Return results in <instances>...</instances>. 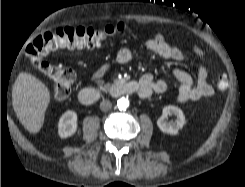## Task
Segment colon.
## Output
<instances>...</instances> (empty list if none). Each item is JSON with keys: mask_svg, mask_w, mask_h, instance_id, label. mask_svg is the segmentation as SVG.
Listing matches in <instances>:
<instances>
[{"mask_svg": "<svg viewBox=\"0 0 245 187\" xmlns=\"http://www.w3.org/2000/svg\"><path fill=\"white\" fill-rule=\"evenodd\" d=\"M124 29V24L108 25L103 29L91 27H64L49 31L37 37L26 48V56L31 64L55 83L53 100L61 101L69 97L75 81L74 71L61 64L50 63L45 57L60 48H94L108 36ZM217 87L225 91L228 82L224 76L217 79Z\"/></svg>", "mask_w": 245, "mask_h": 187, "instance_id": "colon-1", "label": "colon"}]
</instances>
